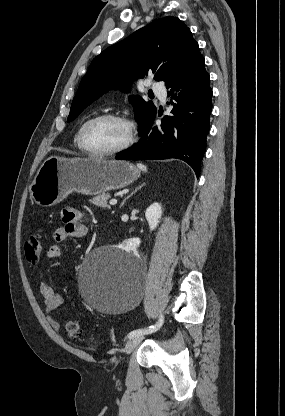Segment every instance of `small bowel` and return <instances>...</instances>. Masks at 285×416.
I'll use <instances>...</instances> for the list:
<instances>
[{
	"label": "small bowel",
	"mask_w": 285,
	"mask_h": 416,
	"mask_svg": "<svg viewBox=\"0 0 285 416\" xmlns=\"http://www.w3.org/2000/svg\"><path fill=\"white\" fill-rule=\"evenodd\" d=\"M85 218V213L75 208H65L61 213L63 226L53 232V240L56 244L50 245L46 250L48 259H58L62 257V249L58 243L64 242L69 238H82L87 233V228L81 221ZM39 292L45 305V315L50 327L58 331L60 323L54 317V312L62 304V296L55 291L49 284L41 282Z\"/></svg>",
	"instance_id": "small-bowel-1"
}]
</instances>
